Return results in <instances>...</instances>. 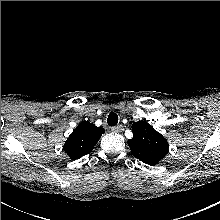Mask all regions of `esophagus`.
I'll use <instances>...</instances> for the list:
<instances>
[{
  "instance_id": "obj_1",
  "label": "esophagus",
  "mask_w": 220,
  "mask_h": 220,
  "mask_svg": "<svg viewBox=\"0 0 220 220\" xmlns=\"http://www.w3.org/2000/svg\"><path fill=\"white\" fill-rule=\"evenodd\" d=\"M111 130H112L113 132H115V133H121V132L124 131V128H123L122 125H118V126H113V127L111 128Z\"/></svg>"
}]
</instances>
